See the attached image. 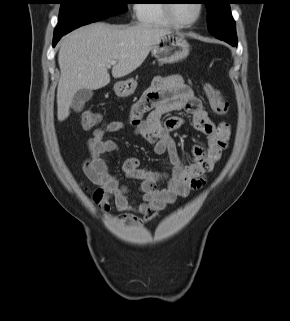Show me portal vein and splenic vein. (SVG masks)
<instances>
[{
  "instance_id": "obj_1",
  "label": "portal vein and splenic vein",
  "mask_w": 290,
  "mask_h": 321,
  "mask_svg": "<svg viewBox=\"0 0 290 321\" xmlns=\"http://www.w3.org/2000/svg\"><path fill=\"white\" fill-rule=\"evenodd\" d=\"M116 63H117V61L112 60V61L109 62V66L114 65V64H116Z\"/></svg>"
}]
</instances>
